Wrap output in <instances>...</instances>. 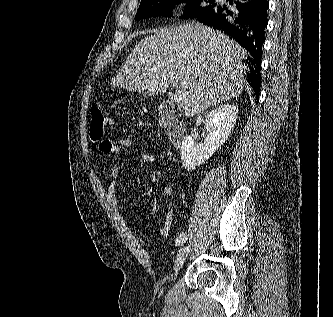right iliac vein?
Here are the masks:
<instances>
[{
  "mask_svg": "<svg viewBox=\"0 0 333 317\" xmlns=\"http://www.w3.org/2000/svg\"><path fill=\"white\" fill-rule=\"evenodd\" d=\"M188 252H189V247L188 246L182 247L178 251V254L176 256V260H175V263H174V271L175 272H178L182 268V266H183V264H184V262L187 258Z\"/></svg>",
  "mask_w": 333,
  "mask_h": 317,
  "instance_id": "63e3f726",
  "label": "right iliac vein"
}]
</instances>
